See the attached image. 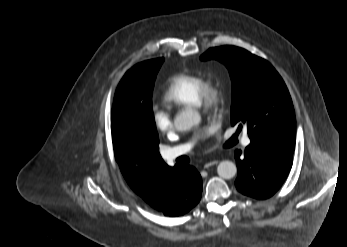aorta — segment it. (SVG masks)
<instances>
[{
	"label": "aorta",
	"instance_id": "1",
	"mask_svg": "<svg viewBox=\"0 0 347 247\" xmlns=\"http://www.w3.org/2000/svg\"><path fill=\"white\" fill-rule=\"evenodd\" d=\"M201 116L194 110H186L178 114L174 120V126L177 131H188L194 125L199 124ZM217 173L221 178L231 179L237 173L235 163L229 160H224L219 163Z\"/></svg>",
	"mask_w": 347,
	"mask_h": 247
}]
</instances>
